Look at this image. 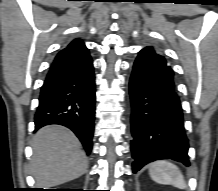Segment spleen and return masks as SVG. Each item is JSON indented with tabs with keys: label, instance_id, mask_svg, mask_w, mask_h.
Masks as SVG:
<instances>
[{
	"label": "spleen",
	"instance_id": "spleen-1",
	"mask_svg": "<svg viewBox=\"0 0 218 191\" xmlns=\"http://www.w3.org/2000/svg\"><path fill=\"white\" fill-rule=\"evenodd\" d=\"M149 175L153 181L172 185L179 189L186 188V182L179 168L168 160H159L151 164Z\"/></svg>",
	"mask_w": 218,
	"mask_h": 191
}]
</instances>
